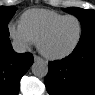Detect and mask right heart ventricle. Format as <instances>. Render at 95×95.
I'll return each mask as SVG.
<instances>
[{"label": "right heart ventricle", "mask_w": 95, "mask_h": 95, "mask_svg": "<svg viewBox=\"0 0 95 95\" xmlns=\"http://www.w3.org/2000/svg\"><path fill=\"white\" fill-rule=\"evenodd\" d=\"M64 15L48 9H30L24 12L20 19V24L32 38L37 42L40 35L55 21Z\"/></svg>", "instance_id": "obj_1"}]
</instances>
